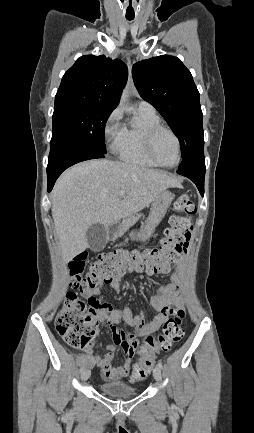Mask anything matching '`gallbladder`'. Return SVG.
Wrapping results in <instances>:
<instances>
[{"label": "gallbladder", "mask_w": 254, "mask_h": 433, "mask_svg": "<svg viewBox=\"0 0 254 433\" xmlns=\"http://www.w3.org/2000/svg\"><path fill=\"white\" fill-rule=\"evenodd\" d=\"M88 248L92 251H101L107 243V230L101 223H95L89 226L86 232Z\"/></svg>", "instance_id": "gallbladder-1"}]
</instances>
